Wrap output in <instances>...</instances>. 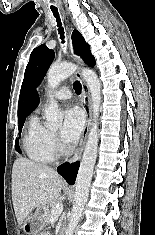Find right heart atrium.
I'll return each instance as SVG.
<instances>
[{"instance_id": "obj_1", "label": "right heart atrium", "mask_w": 155, "mask_h": 235, "mask_svg": "<svg viewBox=\"0 0 155 235\" xmlns=\"http://www.w3.org/2000/svg\"><path fill=\"white\" fill-rule=\"evenodd\" d=\"M50 141L54 149L59 147V141L57 136L54 133H50Z\"/></svg>"}]
</instances>
